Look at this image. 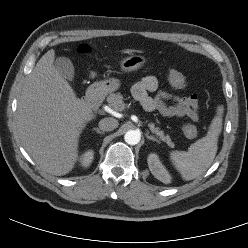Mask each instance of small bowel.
I'll use <instances>...</instances> for the list:
<instances>
[{
	"label": "small bowel",
	"mask_w": 248,
	"mask_h": 248,
	"mask_svg": "<svg viewBox=\"0 0 248 248\" xmlns=\"http://www.w3.org/2000/svg\"><path fill=\"white\" fill-rule=\"evenodd\" d=\"M157 89V78L148 75L134 84L132 93L147 111H157L165 117L199 119L197 95L176 96L163 90L158 91L154 97L149 95Z\"/></svg>",
	"instance_id": "1"
}]
</instances>
